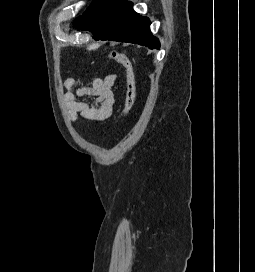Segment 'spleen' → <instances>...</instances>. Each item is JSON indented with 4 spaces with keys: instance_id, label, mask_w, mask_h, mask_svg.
<instances>
[{
    "instance_id": "3e777b00",
    "label": "spleen",
    "mask_w": 255,
    "mask_h": 272,
    "mask_svg": "<svg viewBox=\"0 0 255 272\" xmlns=\"http://www.w3.org/2000/svg\"><path fill=\"white\" fill-rule=\"evenodd\" d=\"M99 47V44L98 43H94V44H91L87 47L88 50H94V49H97Z\"/></svg>"
}]
</instances>
